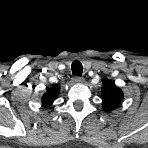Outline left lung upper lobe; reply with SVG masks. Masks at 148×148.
<instances>
[{
	"instance_id": "1",
	"label": "left lung upper lobe",
	"mask_w": 148,
	"mask_h": 148,
	"mask_svg": "<svg viewBox=\"0 0 148 148\" xmlns=\"http://www.w3.org/2000/svg\"><path fill=\"white\" fill-rule=\"evenodd\" d=\"M101 94L103 97L102 107L108 113L117 109L123 100L122 90L110 81H105Z\"/></svg>"
}]
</instances>
